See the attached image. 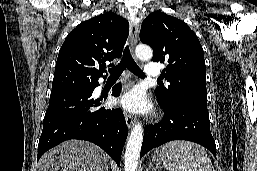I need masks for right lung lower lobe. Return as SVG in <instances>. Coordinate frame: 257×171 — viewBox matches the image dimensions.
<instances>
[{
  "instance_id": "1",
  "label": "right lung lower lobe",
  "mask_w": 257,
  "mask_h": 171,
  "mask_svg": "<svg viewBox=\"0 0 257 171\" xmlns=\"http://www.w3.org/2000/svg\"><path fill=\"white\" fill-rule=\"evenodd\" d=\"M98 82L51 91L43 130L38 144L37 160L50 148L69 139L95 143L120 164L128 129L122 110L99 108L91 96ZM121 84L113 87L119 96Z\"/></svg>"
}]
</instances>
